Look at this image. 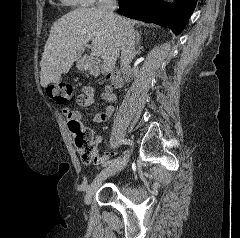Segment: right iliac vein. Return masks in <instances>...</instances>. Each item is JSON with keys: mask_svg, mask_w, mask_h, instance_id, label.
Segmentation results:
<instances>
[{"mask_svg": "<svg viewBox=\"0 0 240 238\" xmlns=\"http://www.w3.org/2000/svg\"><path fill=\"white\" fill-rule=\"evenodd\" d=\"M129 160V153L126 154L120 161L107 166L104 170H102L97 177L93 180L90 186L87 189L85 196V203L89 204L91 202L92 196L95 191L100 187V185L112 174L121 171L127 164Z\"/></svg>", "mask_w": 240, "mask_h": 238, "instance_id": "obj_1", "label": "right iliac vein"}]
</instances>
